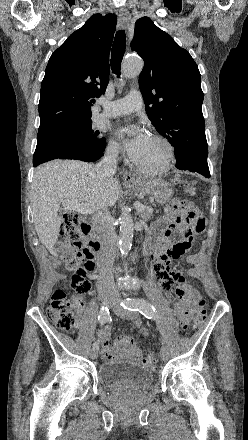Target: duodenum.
<instances>
[{"label": "duodenum", "instance_id": "obj_1", "mask_svg": "<svg viewBox=\"0 0 248 440\" xmlns=\"http://www.w3.org/2000/svg\"><path fill=\"white\" fill-rule=\"evenodd\" d=\"M82 230H83V233L86 237L87 243L89 244L90 248L93 250L95 255L97 256L98 261L100 263L102 260V257H103L102 245H101L100 240L95 235L92 234L91 225H90L89 221H87V220L83 221ZM145 251L147 253L155 252V247L152 245H147L145 248Z\"/></svg>", "mask_w": 248, "mask_h": 440}]
</instances>
